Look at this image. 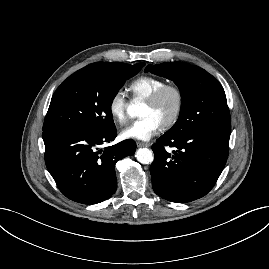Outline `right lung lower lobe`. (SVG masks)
<instances>
[{
	"label": "right lung lower lobe",
	"mask_w": 269,
	"mask_h": 269,
	"mask_svg": "<svg viewBox=\"0 0 269 269\" xmlns=\"http://www.w3.org/2000/svg\"><path fill=\"white\" fill-rule=\"evenodd\" d=\"M116 136V128L105 133L74 127L43 131L45 163L63 195L91 205L115 193V163L133 155L136 149V143L131 139L100 149Z\"/></svg>",
	"instance_id": "98d812e1"
}]
</instances>
